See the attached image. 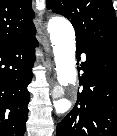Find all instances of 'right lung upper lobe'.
Listing matches in <instances>:
<instances>
[{"label": "right lung upper lobe", "instance_id": "1", "mask_svg": "<svg viewBox=\"0 0 117 136\" xmlns=\"http://www.w3.org/2000/svg\"><path fill=\"white\" fill-rule=\"evenodd\" d=\"M32 0H0V47L36 30Z\"/></svg>", "mask_w": 117, "mask_h": 136}]
</instances>
